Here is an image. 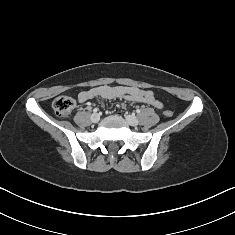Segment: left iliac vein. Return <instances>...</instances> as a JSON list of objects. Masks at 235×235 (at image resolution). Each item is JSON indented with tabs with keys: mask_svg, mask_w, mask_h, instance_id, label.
<instances>
[{
	"mask_svg": "<svg viewBox=\"0 0 235 235\" xmlns=\"http://www.w3.org/2000/svg\"><path fill=\"white\" fill-rule=\"evenodd\" d=\"M126 120L131 126H137L139 124L138 119L134 115H127Z\"/></svg>",
	"mask_w": 235,
	"mask_h": 235,
	"instance_id": "left-iliac-vein-1",
	"label": "left iliac vein"
}]
</instances>
